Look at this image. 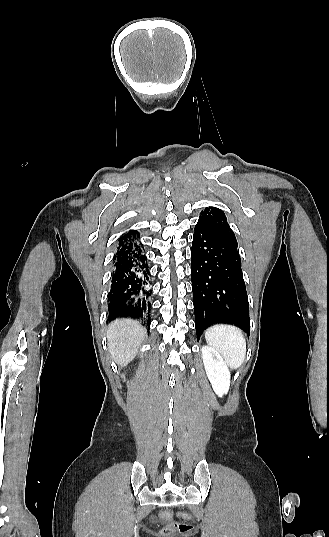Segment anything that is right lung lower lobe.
Masks as SVG:
<instances>
[{
  "instance_id": "98d812e1",
  "label": "right lung lower lobe",
  "mask_w": 329,
  "mask_h": 537,
  "mask_svg": "<svg viewBox=\"0 0 329 537\" xmlns=\"http://www.w3.org/2000/svg\"><path fill=\"white\" fill-rule=\"evenodd\" d=\"M137 232L118 240L108 295V319L132 317L149 321L152 294L147 257L136 242ZM147 321V322H148ZM149 323V322H148Z\"/></svg>"
}]
</instances>
